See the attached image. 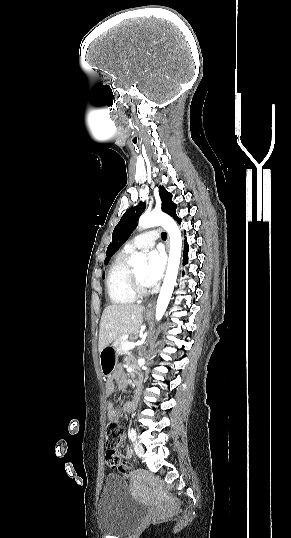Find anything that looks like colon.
Returning a JSON list of instances; mask_svg holds the SVG:
<instances>
[{
	"mask_svg": "<svg viewBox=\"0 0 291 538\" xmlns=\"http://www.w3.org/2000/svg\"><path fill=\"white\" fill-rule=\"evenodd\" d=\"M106 445L108 450L106 452V460L110 466H113L124 475L129 476L131 473V465L127 462L121 461L116 453V447L122 441L124 431L116 419H111L105 428Z\"/></svg>",
	"mask_w": 291,
	"mask_h": 538,
	"instance_id": "5ec220e1",
	"label": "colon"
}]
</instances>
